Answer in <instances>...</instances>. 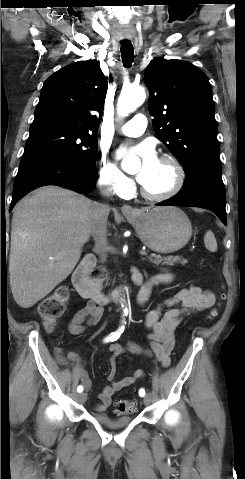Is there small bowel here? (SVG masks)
I'll return each instance as SVG.
<instances>
[{
    "label": "small bowel",
    "instance_id": "1",
    "mask_svg": "<svg viewBox=\"0 0 245 479\" xmlns=\"http://www.w3.org/2000/svg\"><path fill=\"white\" fill-rule=\"evenodd\" d=\"M172 275L162 272L151 277L143 286L138 296L140 306H144L152 288L156 285L168 283ZM215 301V296L210 290L191 285L180 289L172 297L165 299L159 306L147 312L145 325L150 330L149 349L143 350L140 346L130 343L127 347L119 343L109 346L112 356L110 358V372L108 374L109 385L103 387L94 406L98 414L104 413L112 403V397L116 391L135 384L144 377L141 369H136L131 375L116 379V358L126 350L136 353L153 356L163 366L168 367L171 363L170 355L174 348V333L182 323L185 316L195 311H202L209 308ZM165 309V310H164ZM102 316V310L94 302L89 301L83 308L79 309L68 322V331L72 335H79L89 326L96 325ZM56 361L60 365H77L79 357L76 353H69L63 356L60 349L55 351ZM76 376L86 390L91 388V380L86 370L76 367Z\"/></svg>",
    "mask_w": 245,
    "mask_h": 479
}]
</instances>
